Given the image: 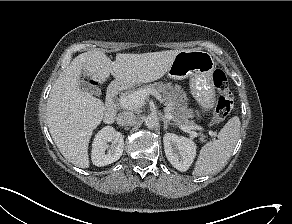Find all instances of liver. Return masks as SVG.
Wrapping results in <instances>:
<instances>
[{
    "label": "liver",
    "mask_w": 292,
    "mask_h": 224,
    "mask_svg": "<svg viewBox=\"0 0 292 224\" xmlns=\"http://www.w3.org/2000/svg\"><path fill=\"white\" fill-rule=\"evenodd\" d=\"M179 52L117 53L114 62L100 50L75 57L59 75L47 101L48 128L62 155L73 165L88 168L93 130L112 112L102 100L80 89L82 73L99 84L107 82L111 74L114 84L135 86L163 77Z\"/></svg>",
    "instance_id": "1"
}]
</instances>
